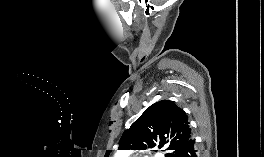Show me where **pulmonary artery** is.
<instances>
[{"mask_svg":"<svg viewBox=\"0 0 264 157\" xmlns=\"http://www.w3.org/2000/svg\"><path fill=\"white\" fill-rule=\"evenodd\" d=\"M120 154H122L123 156H127L128 155V152L127 151H124V152H121Z\"/></svg>","mask_w":264,"mask_h":157,"instance_id":"pulmonary-artery-1","label":"pulmonary artery"}]
</instances>
